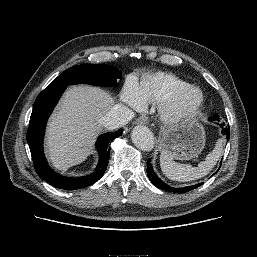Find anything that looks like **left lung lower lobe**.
Here are the masks:
<instances>
[{"label": "left lung lower lobe", "instance_id": "0a47b994", "mask_svg": "<svg viewBox=\"0 0 257 257\" xmlns=\"http://www.w3.org/2000/svg\"><path fill=\"white\" fill-rule=\"evenodd\" d=\"M221 127L224 126L223 124L220 125ZM222 133L224 135L227 136V139H229V136H230V131H229V128L226 127V128H223L222 129ZM151 159H148L147 161V175L150 179V181L152 182V184H154L156 187L160 188V189H163L165 191H171V192H174V193H185V192H188V191H191L197 187H199L200 185H202V183H199V184H196V185H192V186H188V187H184V188H173V187H170L169 185H167L166 183H164L154 172L152 166H151Z\"/></svg>", "mask_w": 257, "mask_h": 257}]
</instances>
